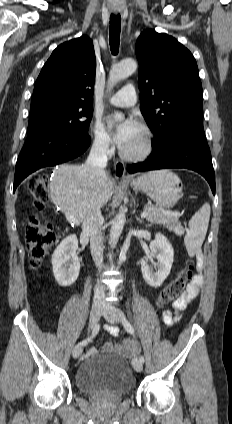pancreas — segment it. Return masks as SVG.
<instances>
[{
  "label": "pancreas",
  "mask_w": 232,
  "mask_h": 424,
  "mask_svg": "<svg viewBox=\"0 0 232 424\" xmlns=\"http://www.w3.org/2000/svg\"><path fill=\"white\" fill-rule=\"evenodd\" d=\"M144 211L148 212L146 220L151 223L163 225L171 231H176L177 228L181 227L178 216L168 215L156 206L145 205Z\"/></svg>",
  "instance_id": "1"
}]
</instances>
